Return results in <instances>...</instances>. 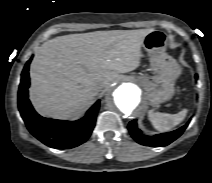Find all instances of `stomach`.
Segmentation results:
<instances>
[{"label":"stomach","mask_w":212,"mask_h":183,"mask_svg":"<svg viewBox=\"0 0 212 183\" xmlns=\"http://www.w3.org/2000/svg\"><path fill=\"white\" fill-rule=\"evenodd\" d=\"M167 44L168 36L161 30H153L148 33L142 44L143 49L150 57V68L155 75H141L138 79L152 106H158L172 98L175 92V80L181 74L178 63L165 52Z\"/></svg>","instance_id":"obj_1"}]
</instances>
